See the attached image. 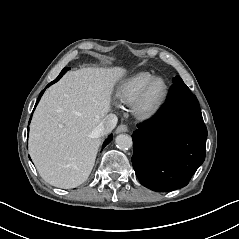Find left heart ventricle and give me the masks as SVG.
I'll list each match as a JSON object with an SVG mask.
<instances>
[{
    "mask_svg": "<svg viewBox=\"0 0 239 239\" xmlns=\"http://www.w3.org/2000/svg\"><path fill=\"white\" fill-rule=\"evenodd\" d=\"M165 85L163 81H158L151 89L146 106L147 108L154 107L164 93Z\"/></svg>",
    "mask_w": 239,
    "mask_h": 239,
    "instance_id": "b2bd125f",
    "label": "left heart ventricle"
}]
</instances>
